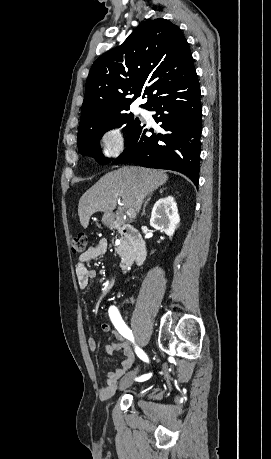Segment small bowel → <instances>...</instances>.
Returning a JSON list of instances; mask_svg holds the SVG:
<instances>
[{
	"label": "small bowel",
	"mask_w": 271,
	"mask_h": 459,
	"mask_svg": "<svg viewBox=\"0 0 271 459\" xmlns=\"http://www.w3.org/2000/svg\"><path fill=\"white\" fill-rule=\"evenodd\" d=\"M107 249V239L101 238L95 245L90 246L79 256V260L76 265V277L80 289H86L89 281L96 275L94 270L88 268L87 263L103 256L107 252ZM101 329L104 332H109L111 331V326L108 322H103L101 324ZM112 335L113 340L105 347V352L107 355L120 352L124 359L118 368L108 373L104 386L99 389V397L101 399H107L115 393L119 381L130 373L129 371L135 359L130 345L126 342L125 338L119 333V331H112ZM87 344L91 351H95L97 349L98 344L95 338H88Z\"/></svg>",
	"instance_id": "obj_1"
}]
</instances>
